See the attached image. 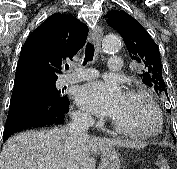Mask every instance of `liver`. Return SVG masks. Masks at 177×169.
<instances>
[{
    "instance_id": "6515ba94",
    "label": "liver",
    "mask_w": 177,
    "mask_h": 169,
    "mask_svg": "<svg viewBox=\"0 0 177 169\" xmlns=\"http://www.w3.org/2000/svg\"><path fill=\"white\" fill-rule=\"evenodd\" d=\"M115 145L130 146L119 140L74 136L65 128L21 132L3 146L0 169H95L93 156Z\"/></svg>"
}]
</instances>
